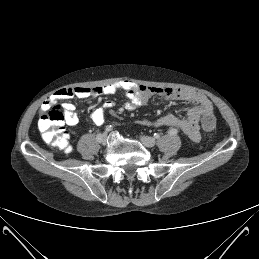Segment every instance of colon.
Here are the masks:
<instances>
[{"label":"colon","mask_w":259,"mask_h":259,"mask_svg":"<svg viewBox=\"0 0 259 259\" xmlns=\"http://www.w3.org/2000/svg\"><path fill=\"white\" fill-rule=\"evenodd\" d=\"M65 115L62 106L54 105L47 109L38 121V128L45 142L65 152H70L69 134L64 128ZM202 127L211 133L216 126L213 114H208L201 119Z\"/></svg>","instance_id":"5ec220e1"}]
</instances>
